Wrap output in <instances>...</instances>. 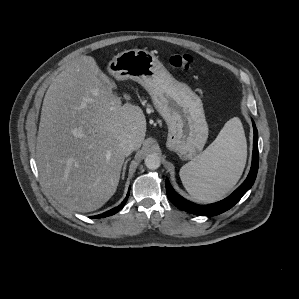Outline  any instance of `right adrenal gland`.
<instances>
[{
	"label": "right adrenal gland",
	"mask_w": 299,
	"mask_h": 299,
	"mask_svg": "<svg viewBox=\"0 0 299 299\" xmlns=\"http://www.w3.org/2000/svg\"><path fill=\"white\" fill-rule=\"evenodd\" d=\"M130 159L125 160L124 165H123V171H122V179H124L125 176V172H126V167H127V163Z\"/></svg>",
	"instance_id": "2a0ac1e0"
}]
</instances>
